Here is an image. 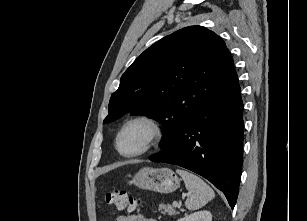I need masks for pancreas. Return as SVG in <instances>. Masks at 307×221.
Segmentation results:
<instances>
[{
	"label": "pancreas",
	"instance_id": "pancreas-1",
	"mask_svg": "<svg viewBox=\"0 0 307 221\" xmlns=\"http://www.w3.org/2000/svg\"><path fill=\"white\" fill-rule=\"evenodd\" d=\"M158 210L163 214H168L170 216L177 215L178 212L169 204H159Z\"/></svg>",
	"mask_w": 307,
	"mask_h": 221
}]
</instances>
